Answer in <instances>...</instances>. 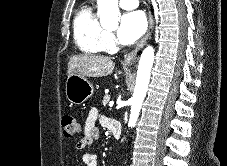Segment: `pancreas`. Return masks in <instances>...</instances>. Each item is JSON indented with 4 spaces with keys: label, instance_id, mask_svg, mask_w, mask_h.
I'll list each match as a JSON object with an SVG mask.
<instances>
[{
    "label": "pancreas",
    "instance_id": "1",
    "mask_svg": "<svg viewBox=\"0 0 227 166\" xmlns=\"http://www.w3.org/2000/svg\"><path fill=\"white\" fill-rule=\"evenodd\" d=\"M110 101V96L109 95H105L104 98H103V106H106L107 103Z\"/></svg>",
    "mask_w": 227,
    "mask_h": 166
}]
</instances>
